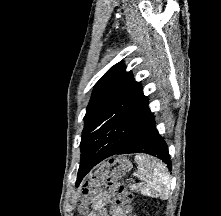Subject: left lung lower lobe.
Wrapping results in <instances>:
<instances>
[{
	"label": "left lung lower lobe",
	"mask_w": 221,
	"mask_h": 216,
	"mask_svg": "<svg viewBox=\"0 0 221 216\" xmlns=\"http://www.w3.org/2000/svg\"><path fill=\"white\" fill-rule=\"evenodd\" d=\"M130 153H146L153 155L163 160L167 164L169 170H171L168 148L156 129L152 113H150L148 118L138 128L133 137L119 150H113V148L107 145H98L83 152L81 154L76 185L78 186L84 176L102 160L115 154Z\"/></svg>",
	"instance_id": "1"
}]
</instances>
